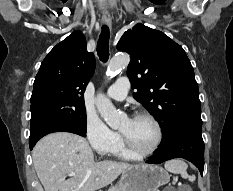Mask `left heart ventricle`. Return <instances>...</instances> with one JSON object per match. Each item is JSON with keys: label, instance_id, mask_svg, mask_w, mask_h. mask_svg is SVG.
<instances>
[{"label": "left heart ventricle", "instance_id": "left-heart-ventricle-1", "mask_svg": "<svg viewBox=\"0 0 233 191\" xmlns=\"http://www.w3.org/2000/svg\"><path fill=\"white\" fill-rule=\"evenodd\" d=\"M119 130L141 151L150 150L157 138L154 124L147 119H126Z\"/></svg>", "mask_w": 233, "mask_h": 191}]
</instances>
